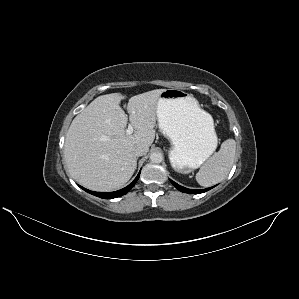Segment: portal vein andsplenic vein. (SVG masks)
<instances>
[{
	"mask_svg": "<svg viewBox=\"0 0 299 299\" xmlns=\"http://www.w3.org/2000/svg\"><path fill=\"white\" fill-rule=\"evenodd\" d=\"M133 133V126L131 124L128 125V128L126 130V134L127 135H131ZM107 138L105 137L104 140H106Z\"/></svg>",
	"mask_w": 299,
	"mask_h": 299,
	"instance_id": "18ae733b",
	"label": "portal vein and splenic vein"
}]
</instances>
